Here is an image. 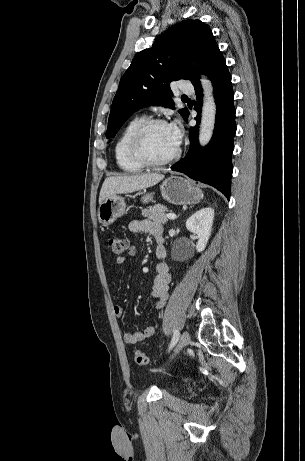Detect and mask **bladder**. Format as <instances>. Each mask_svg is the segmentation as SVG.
<instances>
[{"mask_svg":"<svg viewBox=\"0 0 305 461\" xmlns=\"http://www.w3.org/2000/svg\"><path fill=\"white\" fill-rule=\"evenodd\" d=\"M171 391H172V392H176V391H178V388H177V387H173V388H171Z\"/></svg>","mask_w":305,"mask_h":461,"instance_id":"obj_1","label":"bladder"}]
</instances>
